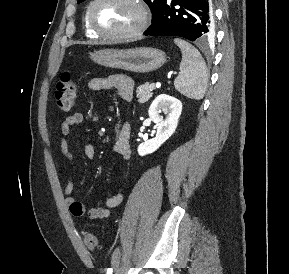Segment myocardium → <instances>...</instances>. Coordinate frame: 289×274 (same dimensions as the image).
Segmentation results:
<instances>
[{
  "label": "myocardium",
  "mask_w": 289,
  "mask_h": 274,
  "mask_svg": "<svg viewBox=\"0 0 289 274\" xmlns=\"http://www.w3.org/2000/svg\"><path fill=\"white\" fill-rule=\"evenodd\" d=\"M100 1L101 0H92L90 4L88 5L87 11H86V18H87L88 25L91 28V30L98 36L106 38V39H110V40L124 41V40L134 39L140 36L146 30L148 26V22H149V13L143 0H129L131 3H133L137 7L138 12H139L138 24L131 30L122 32V33H111V32H106V31L99 29L94 23V20L92 17V11H93L94 6Z\"/></svg>",
  "instance_id": "1"
}]
</instances>
